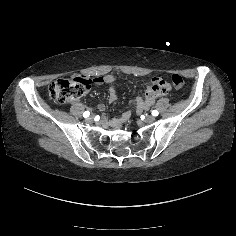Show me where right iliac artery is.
<instances>
[{"instance_id":"obj_1","label":"right iliac artery","mask_w":236,"mask_h":236,"mask_svg":"<svg viewBox=\"0 0 236 236\" xmlns=\"http://www.w3.org/2000/svg\"><path fill=\"white\" fill-rule=\"evenodd\" d=\"M89 115H90V112H89V111H85V112L83 113V117H85V118H87Z\"/></svg>"}]
</instances>
